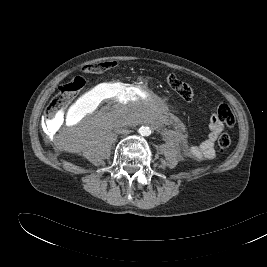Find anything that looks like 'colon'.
<instances>
[{
	"mask_svg": "<svg viewBox=\"0 0 267 267\" xmlns=\"http://www.w3.org/2000/svg\"><path fill=\"white\" fill-rule=\"evenodd\" d=\"M111 63H98L86 67L88 72H96L104 70ZM167 85L175 91L182 99L191 101L194 98L193 88L186 82L182 81L175 74L169 73L165 77ZM85 81L81 77H75L62 85L55 97L49 103L46 109V120L53 121L76 97L83 89ZM217 113L225 125L231 127L234 125L235 118L232 110L227 104H220L217 107ZM231 145V138L228 134L220 135L218 146L221 150H226Z\"/></svg>",
	"mask_w": 267,
	"mask_h": 267,
	"instance_id": "colon-1",
	"label": "colon"
}]
</instances>
